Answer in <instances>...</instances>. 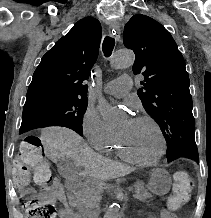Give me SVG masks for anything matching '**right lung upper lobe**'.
<instances>
[{"instance_id": "obj_1", "label": "right lung upper lobe", "mask_w": 211, "mask_h": 218, "mask_svg": "<svg viewBox=\"0 0 211 218\" xmlns=\"http://www.w3.org/2000/svg\"><path fill=\"white\" fill-rule=\"evenodd\" d=\"M101 25L92 17L79 20L42 57L29 85L26 102L45 98L87 100V80L99 52Z\"/></svg>"}]
</instances>
